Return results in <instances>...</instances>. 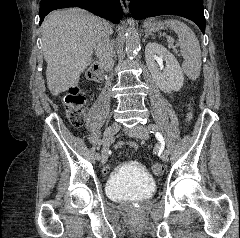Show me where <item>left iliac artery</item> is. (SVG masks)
<instances>
[{"label":"left iliac artery","mask_w":240,"mask_h":238,"mask_svg":"<svg viewBox=\"0 0 240 238\" xmlns=\"http://www.w3.org/2000/svg\"><path fill=\"white\" fill-rule=\"evenodd\" d=\"M148 129H149V131L151 132V133H154V132H156V130H157V127L154 125V124H150L149 126H148ZM162 152V155H167V148L166 147H163L162 148V150H161Z\"/></svg>","instance_id":"obj_1"}]
</instances>
